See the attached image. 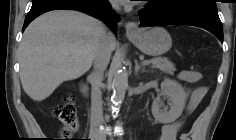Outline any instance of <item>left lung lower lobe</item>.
<instances>
[{
    "mask_svg": "<svg viewBox=\"0 0 236 140\" xmlns=\"http://www.w3.org/2000/svg\"><path fill=\"white\" fill-rule=\"evenodd\" d=\"M140 26L191 25L204 28L223 42V28L215 9L191 5L167 8L156 2L139 12Z\"/></svg>",
    "mask_w": 236,
    "mask_h": 140,
    "instance_id": "0a47b994",
    "label": "left lung lower lobe"
}]
</instances>
